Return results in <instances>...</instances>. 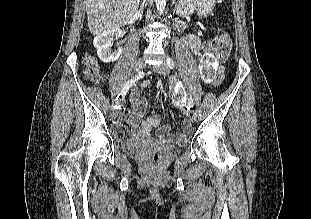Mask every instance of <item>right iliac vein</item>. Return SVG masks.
<instances>
[{"instance_id":"right-iliac-vein-1","label":"right iliac vein","mask_w":311,"mask_h":219,"mask_svg":"<svg viewBox=\"0 0 311 219\" xmlns=\"http://www.w3.org/2000/svg\"><path fill=\"white\" fill-rule=\"evenodd\" d=\"M144 67H145V62H144V60H143V59H138V60L136 61V63H135L134 71H135V72H140L141 70L144 69ZM119 103H120V100L115 101V102L113 103L114 108H117L116 105H118Z\"/></svg>"}]
</instances>
